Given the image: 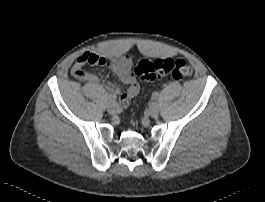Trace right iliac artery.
<instances>
[{
	"label": "right iliac artery",
	"instance_id": "right-iliac-artery-1",
	"mask_svg": "<svg viewBox=\"0 0 265 202\" xmlns=\"http://www.w3.org/2000/svg\"><path fill=\"white\" fill-rule=\"evenodd\" d=\"M108 101H109V103L113 102L114 101V97L112 95H108Z\"/></svg>",
	"mask_w": 265,
	"mask_h": 202
}]
</instances>
